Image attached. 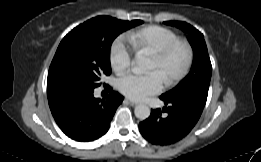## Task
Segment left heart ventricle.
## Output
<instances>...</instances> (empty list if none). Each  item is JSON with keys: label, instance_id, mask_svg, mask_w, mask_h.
I'll return each mask as SVG.
<instances>
[{"label": "left heart ventricle", "instance_id": "b2bd125f", "mask_svg": "<svg viewBox=\"0 0 261 162\" xmlns=\"http://www.w3.org/2000/svg\"><path fill=\"white\" fill-rule=\"evenodd\" d=\"M184 58L185 56L182 50L176 51L165 63H160L155 57L151 56L148 69L159 71L166 80L181 69Z\"/></svg>", "mask_w": 261, "mask_h": 162}]
</instances>
